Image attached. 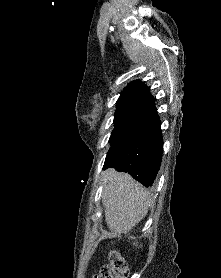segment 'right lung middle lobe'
I'll use <instances>...</instances> for the list:
<instances>
[{
    "label": "right lung middle lobe",
    "mask_w": 221,
    "mask_h": 278,
    "mask_svg": "<svg viewBox=\"0 0 221 278\" xmlns=\"http://www.w3.org/2000/svg\"><path fill=\"white\" fill-rule=\"evenodd\" d=\"M154 112L149 105H130L117 109L114 130L109 139L111 147L107 155L134 135Z\"/></svg>",
    "instance_id": "right-lung-middle-lobe-1"
}]
</instances>
